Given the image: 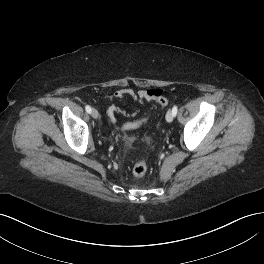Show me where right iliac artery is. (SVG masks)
<instances>
[{"instance_id": "1", "label": "right iliac artery", "mask_w": 264, "mask_h": 264, "mask_svg": "<svg viewBox=\"0 0 264 264\" xmlns=\"http://www.w3.org/2000/svg\"><path fill=\"white\" fill-rule=\"evenodd\" d=\"M85 109H86L87 113H89V114L92 111V109H91V107L89 105H86Z\"/></svg>"}]
</instances>
